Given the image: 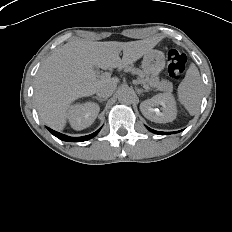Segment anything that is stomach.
I'll use <instances>...</instances> for the list:
<instances>
[{"instance_id": "stomach-1", "label": "stomach", "mask_w": 232, "mask_h": 232, "mask_svg": "<svg viewBox=\"0 0 232 232\" xmlns=\"http://www.w3.org/2000/svg\"><path fill=\"white\" fill-rule=\"evenodd\" d=\"M165 65V56L161 51L150 50L145 54L142 68L145 74L160 71Z\"/></svg>"}]
</instances>
